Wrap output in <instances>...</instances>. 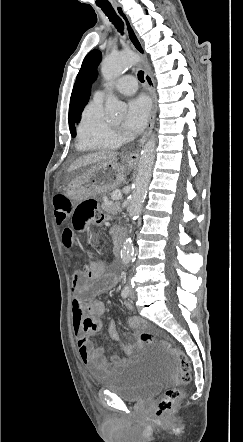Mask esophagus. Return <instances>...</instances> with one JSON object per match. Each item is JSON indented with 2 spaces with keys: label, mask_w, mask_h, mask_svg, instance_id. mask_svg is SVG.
<instances>
[{
  "label": "esophagus",
  "mask_w": 243,
  "mask_h": 442,
  "mask_svg": "<svg viewBox=\"0 0 243 442\" xmlns=\"http://www.w3.org/2000/svg\"><path fill=\"white\" fill-rule=\"evenodd\" d=\"M115 11H116L117 15L121 18L122 22L124 23L128 40L130 41V43H131L132 47L135 49V51L141 57L142 66H143V70H144V78H145V82L148 87V91H149V94L151 97V102H152L151 113L149 116L147 130H146L145 134L143 135V137L140 139L139 144H138V148L128 155V160L130 162H136L139 160L141 149H142L145 141L147 140V138L153 128V124H154V120H155V116H156L157 106H156V99H155L154 82H153V79H152L148 69H147L146 55H145L143 44L140 41L139 37L137 36L129 18L127 17L126 13L124 12V10L121 6H115Z\"/></svg>",
  "instance_id": "1"
}]
</instances>
